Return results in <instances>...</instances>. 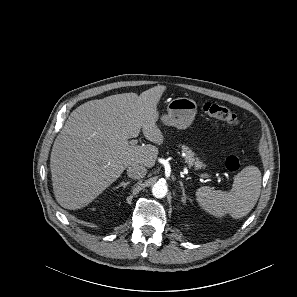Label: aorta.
I'll list each match as a JSON object with an SVG mask.
<instances>
[{"instance_id": "aorta-1", "label": "aorta", "mask_w": 297, "mask_h": 297, "mask_svg": "<svg viewBox=\"0 0 297 297\" xmlns=\"http://www.w3.org/2000/svg\"><path fill=\"white\" fill-rule=\"evenodd\" d=\"M168 188L165 182L158 181L152 187V193L156 198H163L166 196Z\"/></svg>"}]
</instances>
